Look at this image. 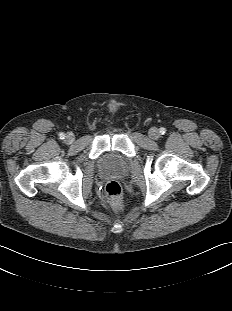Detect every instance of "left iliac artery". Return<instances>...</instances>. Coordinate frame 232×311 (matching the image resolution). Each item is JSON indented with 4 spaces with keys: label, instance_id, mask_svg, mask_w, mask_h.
Segmentation results:
<instances>
[{
    "label": "left iliac artery",
    "instance_id": "obj_1",
    "mask_svg": "<svg viewBox=\"0 0 232 311\" xmlns=\"http://www.w3.org/2000/svg\"><path fill=\"white\" fill-rule=\"evenodd\" d=\"M160 133L163 135V134H165L166 133V129L165 128H160Z\"/></svg>",
    "mask_w": 232,
    "mask_h": 311
}]
</instances>
